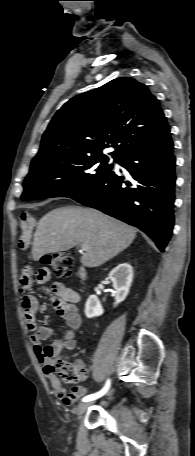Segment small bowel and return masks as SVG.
<instances>
[{"label":"small bowel","instance_id":"1","mask_svg":"<svg viewBox=\"0 0 195 456\" xmlns=\"http://www.w3.org/2000/svg\"><path fill=\"white\" fill-rule=\"evenodd\" d=\"M35 220L32 216L24 215L21 218L20 237L18 245L21 249L29 246ZM51 278L47 268H40L33 273L29 268L22 271L19 278L20 290L25 291L31 287L33 282L45 285ZM48 292L54 298V305L61 321L68 327V330L60 338L55 339L50 345L43 346L53 333L54 326L45 325L37 327L36 316L39 310V302L33 295H26L21 300L25 322L30 331V341L33 345L34 353L40 363H47L52 358L58 357L64 350H71L76 345V330L81 326L82 320L79 314L77 303L80 301V294L72 288L65 286L62 282H53ZM77 363L84 369L82 361ZM55 396L66 406H71L81 396L85 395L87 389L82 386L74 387L67 391L61 382L53 374H48Z\"/></svg>","mask_w":195,"mask_h":456}]
</instances>
